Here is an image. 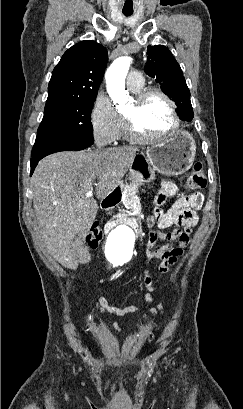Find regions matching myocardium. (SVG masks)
<instances>
[{
  "label": "myocardium",
  "mask_w": 243,
  "mask_h": 409,
  "mask_svg": "<svg viewBox=\"0 0 243 409\" xmlns=\"http://www.w3.org/2000/svg\"><path fill=\"white\" fill-rule=\"evenodd\" d=\"M153 95L161 97L167 103L171 114L172 124L170 128L163 133L157 135H147L138 129L133 117L124 114L125 127L133 141L141 143L157 141L175 132L180 125V118L174 100L159 88L151 87L137 92L134 96L135 106L137 108L140 107L149 97Z\"/></svg>",
  "instance_id": "myocardium-1"
}]
</instances>
